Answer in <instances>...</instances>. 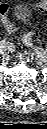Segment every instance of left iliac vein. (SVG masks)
I'll return each instance as SVG.
<instances>
[{
    "label": "left iliac vein",
    "mask_w": 47,
    "mask_h": 129,
    "mask_svg": "<svg viewBox=\"0 0 47 129\" xmlns=\"http://www.w3.org/2000/svg\"><path fill=\"white\" fill-rule=\"evenodd\" d=\"M33 49H34L37 57L40 58V60L45 61V59L47 57L46 51L39 47H34Z\"/></svg>",
    "instance_id": "obj_1"
}]
</instances>
